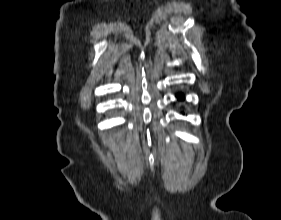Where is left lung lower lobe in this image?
<instances>
[{
  "instance_id": "0a47b994",
  "label": "left lung lower lobe",
  "mask_w": 281,
  "mask_h": 220,
  "mask_svg": "<svg viewBox=\"0 0 281 220\" xmlns=\"http://www.w3.org/2000/svg\"><path fill=\"white\" fill-rule=\"evenodd\" d=\"M177 98L178 99H184V96H183V94H179V95H177Z\"/></svg>"
}]
</instances>
